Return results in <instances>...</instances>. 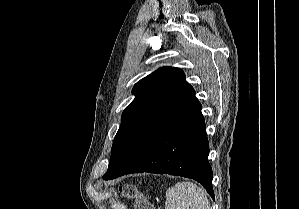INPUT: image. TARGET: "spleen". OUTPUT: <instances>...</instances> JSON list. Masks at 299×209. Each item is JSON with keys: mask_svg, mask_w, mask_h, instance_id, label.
I'll return each instance as SVG.
<instances>
[{"mask_svg": "<svg viewBox=\"0 0 299 209\" xmlns=\"http://www.w3.org/2000/svg\"><path fill=\"white\" fill-rule=\"evenodd\" d=\"M165 209H210L206 191L192 182H177L166 192Z\"/></svg>", "mask_w": 299, "mask_h": 209, "instance_id": "3e777b00", "label": "spleen"}]
</instances>
